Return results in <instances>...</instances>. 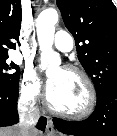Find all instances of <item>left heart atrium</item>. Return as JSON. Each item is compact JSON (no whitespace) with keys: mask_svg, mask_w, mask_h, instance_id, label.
I'll use <instances>...</instances> for the list:
<instances>
[{"mask_svg":"<svg viewBox=\"0 0 117 136\" xmlns=\"http://www.w3.org/2000/svg\"><path fill=\"white\" fill-rule=\"evenodd\" d=\"M58 82V77H50L47 81L48 92L52 90Z\"/></svg>","mask_w":117,"mask_h":136,"instance_id":"left-heart-atrium-1","label":"left heart atrium"}]
</instances>
